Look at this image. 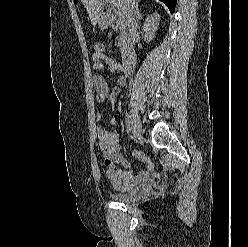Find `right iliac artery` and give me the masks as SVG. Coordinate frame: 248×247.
Listing matches in <instances>:
<instances>
[{
  "label": "right iliac artery",
  "mask_w": 248,
  "mask_h": 247,
  "mask_svg": "<svg viewBox=\"0 0 248 247\" xmlns=\"http://www.w3.org/2000/svg\"><path fill=\"white\" fill-rule=\"evenodd\" d=\"M125 123L127 134L130 135L132 131L130 116L126 115Z\"/></svg>",
  "instance_id": "82829eb1"
}]
</instances>
